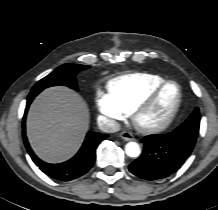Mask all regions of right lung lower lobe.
<instances>
[{"instance_id": "1", "label": "right lung lower lobe", "mask_w": 218, "mask_h": 210, "mask_svg": "<svg viewBox=\"0 0 218 210\" xmlns=\"http://www.w3.org/2000/svg\"><path fill=\"white\" fill-rule=\"evenodd\" d=\"M38 95V94H37ZM37 95L29 94L27 98V105L25 109V115L23 120V139L26 149L31 156L34 163L49 177L60 180L69 181L78 178L87 173L93 166L96 159V148L98 144L108 137L106 134L98 132H88L85 141L78 151V153L70 160L60 164H49L40 160L32 151L29 146L26 134H25V117L29 108V105Z\"/></svg>"}]
</instances>
